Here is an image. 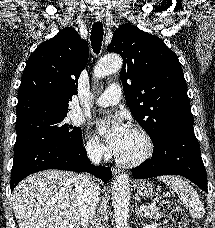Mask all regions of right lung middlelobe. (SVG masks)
Here are the masks:
<instances>
[{"label": "right lung middle lobe", "mask_w": 215, "mask_h": 228, "mask_svg": "<svg viewBox=\"0 0 215 228\" xmlns=\"http://www.w3.org/2000/svg\"><path fill=\"white\" fill-rule=\"evenodd\" d=\"M16 133L14 153L45 142L82 145L81 129L67 123V113L38 116L16 122Z\"/></svg>", "instance_id": "right-lung-middle-lobe-1"}]
</instances>
